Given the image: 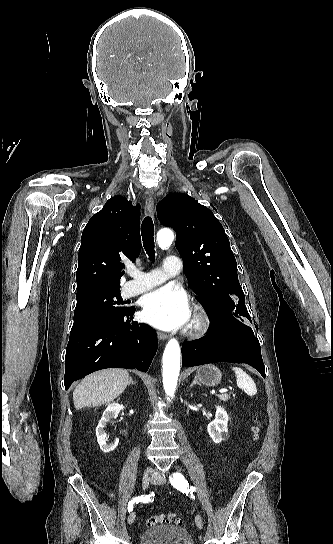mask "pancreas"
Instances as JSON below:
<instances>
[{
    "instance_id": "cf45deb5",
    "label": "pancreas",
    "mask_w": 333,
    "mask_h": 544,
    "mask_svg": "<svg viewBox=\"0 0 333 544\" xmlns=\"http://www.w3.org/2000/svg\"><path fill=\"white\" fill-rule=\"evenodd\" d=\"M219 398L220 400H222L223 402H226L230 399V395L228 394H222V395H219Z\"/></svg>"
}]
</instances>
